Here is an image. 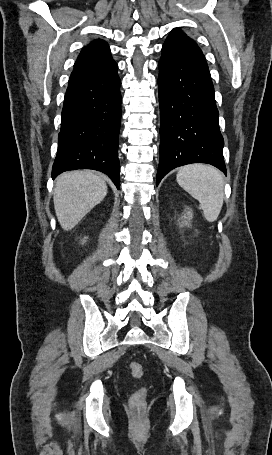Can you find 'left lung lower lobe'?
Returning a JSON list of instances; mask_svg holds the SVG:
<instances>
[{"instance_id":"1","label":"left lung lower lobe","mask_w":272,"mask_h":455,"mask_svg":"<svg viewBox=\"0 0 272 455\" xmlns=\"http://www.w3.org/2000/svg\"><path fill=\"white\" fill-rule=\"evenodd\" d=\"M160 162L157 185L172 169L208 163L226 175L214 87L207 62L160 59Z\"/></svg>"}]
</instances>
